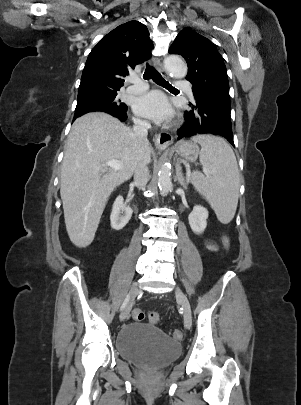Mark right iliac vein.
<instances>
[{
  "instance_id": "right-iliac-vein-1",
  "label": "right iliac vein",
  "mask_w": 301,
  "mask_h": 405,
  "mask_svg": "<svg viewBox=\"0 0 301 405\" xmlns=\"http://www.w3.org/2000/svg\"><path fill=\"white\" fill-rule=\"evenodd\" d=\"M138 292H139L138 283L134 282L132 284L131 290H130L131 298H130L129 302L127 303V305L125 306V308L123 309V311H122V313L120 315L121 320H125L129 316V313H130L131 308H132L133 300L137 296Z\"/></svg>"
}]
</instances>
